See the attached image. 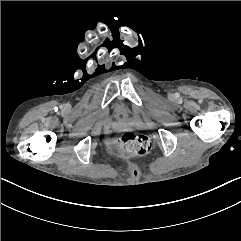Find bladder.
I'll list each match as a JSON object with an SVG mask.
<instances>
[{
    "instance_id": "obj_1",
    "label": "bladder",
    "mask_w": 241,
    "mask_h": 241,
    "mask_svg": "<svg viewBox=\"0 0 241 241\" xmlns=\"http://www.w3.org/2000/svg\"><path fill=\"white\" fill-rule=\"evenodd\" d=\"M118 111H119V113H120L121 115H124V114H125V109H123V108H119Z\"/></svg>"
}]
</instances>
